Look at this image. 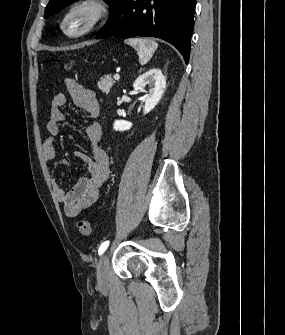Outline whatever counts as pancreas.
Instances as JSON below:
<instances>
[{
  "instance_id": "cf45deb5",
  "label": "pancreas",
  "mask_w": 285,
  "mask_h": 335,
  "mask_svg": "<svg viewBox=\"0 0 285 335\" xmlns=\"http://www.w3.org/2000/svg\"><path fill=\"white\" fill-rule=\"evenodd\" d=\"M113 84H115V82L112 80L110 74H107V76H102L99 82H97L99 90H102V92H107V94L110 92Z\"/></svg>"
}]
</instances>
